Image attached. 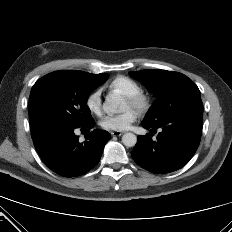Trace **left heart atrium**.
Here are the masks:
<instances>
[{
    "instance_id": "obj_1",
    "label": "left heart atrium",
    "mask_w": 232,
    "mask_h": 232,
    "mask_svg": "<svg viewBox=\"0 0 232 232\" xmlns=\"http://www.w3.org/2000/svg\"><path fill=\"white\" fill-rule=\"evenodd\" d=\"M137 116L136 111L128 109L121 114L105 117L100 125L105 130L121 132L130 129Z\"/></svg>"
}]
</instances>
